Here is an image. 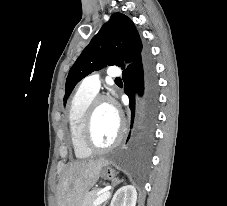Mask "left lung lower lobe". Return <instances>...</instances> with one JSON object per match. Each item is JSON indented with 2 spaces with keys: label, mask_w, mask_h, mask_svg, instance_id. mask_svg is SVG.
<instances>
[{
  "label": "left lung lower lobe",
  "mask_w": 227,
  "mask_h": 206,
  "mask_svg": "<svg viewBox=\"0 0 227 206\" xmlns=\"http://www.w3.org/2000/svg\"><path fill=\"white\" fill-rule=\"evenodd\" d=\"M129 68L131 73L124 70L122 78L125 83L124 91L130 100L132 123L135 110V92L138 93L137 118L135 133L132 138V148L136 155L142 156L154 140L158 106L157 79L153 63L147 51H144L141 58L136 60Z\"/></svg>",
  "instance_id": "1"
}]
</instances>
